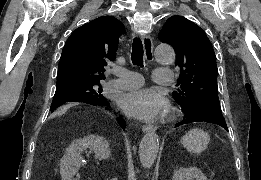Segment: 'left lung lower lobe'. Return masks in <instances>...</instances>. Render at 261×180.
<instances>
[{
	"mask_svg": "<svg viewBox=\"0 0 261 180\" xmlns=\"http://www.w3.org/2000/svg\"><path fill=\"white\" fill-rule=\"evenodd\" d=\"M192 109L193 108L184 109L182 107L184 117L182 121L176 124V127L193 122H207L219 125L228 130L227 124L221 111L212 108H201L197 111H192Z\"/></svg>",
	"mask_w": 261,
	"mask_h": 180,
	"instance_id": "0a47b994",
	"label": "left lung lower lobe"
}]
</instances>
